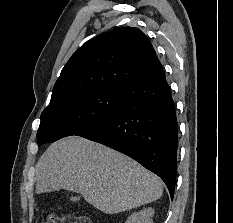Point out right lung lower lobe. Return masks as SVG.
<instances>
[{
	"instance_id": "obj_1",
	"label": "right lung lower lobe",
	"mask_w": 233,
	"mask_h": 223,
	"mask_svg": "<svg viewBox=\"0 0 233 223\" xmlns=\"http://www.w3.org/2000/svg\"><path fill=\"white\" fill-rule=\"evenodd\" d=\"M119 101L117 113L79 136L133 158L157 174L173 198L178 124L165 72L122 88Z\"/></svg>"
}]
</instances>
